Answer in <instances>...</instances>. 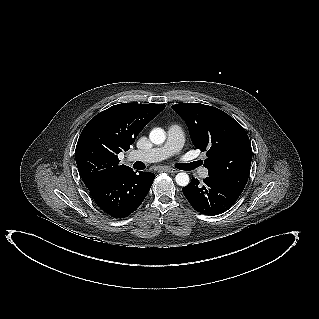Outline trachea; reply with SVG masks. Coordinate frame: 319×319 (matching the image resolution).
<instances>
[{"label":"trachea","mask_w":319,"mask_h":319,"mask_svg":"<svg viewBox=\"0 0 319 319\" xmlns=\"http://www.w3.org/2000/svg\"><path fill=\"white\" fill-rule=\"evenodd\" d=\"M140 163H142V162H135L134 167L137 169L142 168V165ZM198 165H199L198 162H193V163H184V164H181L179 166H180V168H183L184 170H192L195 167H197Z\"/></svg>","instance_id":"3493384b"}]
</instances>
